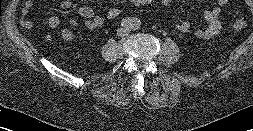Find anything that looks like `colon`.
<instances>
[{
    "label": "colon",
    "mask_w": 253,
    "mask_h": 131,
    "mask_svg": "<svg viewBox=\"0 0 253 131\" xmlns=\"http://www.w3.org/2000/svg\"><path fill=\"white\" fill-rule=\"evenodd\" d=\"M154 0H123L116 2L111 7H109L105 13L104 17L108 21H115L121 17L126 10L131 6H141V5H150ZM247 26V21L245 18L241 17L234 21L233 28L235 30H243Z\"/></svg>",
    "instance_id": "obj_1"
}]
</instances>
